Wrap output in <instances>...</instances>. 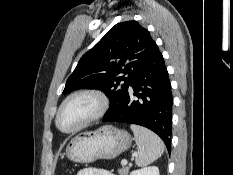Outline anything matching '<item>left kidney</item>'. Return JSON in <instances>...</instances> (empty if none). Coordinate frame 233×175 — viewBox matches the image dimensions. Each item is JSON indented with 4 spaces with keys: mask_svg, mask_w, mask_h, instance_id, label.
I'll return each mask as SVG.
<instances>
[{
    "mask_svg": "<svg viewBox=\"0 0 233 175\" xmlns=\"http://www.w3.org/2000/svg\"><path fill=\"white\" fill-rule=\"evenodd\" d=\"M130 175H159V168L156 166L144 167L132 171Z\"/></svg>",
    "mask_w": 233,
    "mask_h": 175,
    "instance_id": "obj_1",
    "label": "left kidney"
}]
</instances>
